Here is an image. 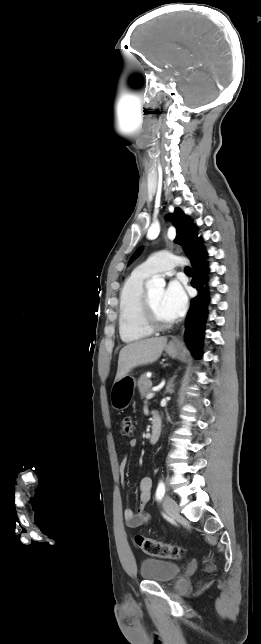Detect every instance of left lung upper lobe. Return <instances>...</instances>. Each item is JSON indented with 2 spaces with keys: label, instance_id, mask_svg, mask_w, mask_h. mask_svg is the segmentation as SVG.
<instances>
[{
  "label": "left lung upper lobe",
  "instance_id": "5c2ea615",
  "mask_svg": "<svg viewBox=\"0 0 261 644\" xmlns=\"http://www.w3.org/2000/svg\"><path fill=\"white\" fill-rule=\"evenodd\" d=\"M173 224L176 227L177 236L175 243L183 246L184 252L190 258L191 261L204 259L207 256V252L202 249V239L197 237L196 227L192 223V220L185 215L180 209H175L174 214L171 215ZM170 219V217H166ZM141 249L139 248L131 257V260L134 259Z\"/></svg>",
  "mask_w": 261,
  "mask_h": 644
}]
</instances>
